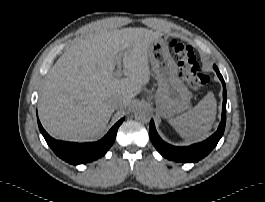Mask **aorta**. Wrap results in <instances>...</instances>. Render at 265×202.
Returning a JSON list of instances; mask_svg holds the SVG:
<instances>
[{"label":"aorta","mask_w":265,"mask_h":202,"mask_svg":"<svg viewBox=\"0 0 265 202\" xmlns=\"http://www.w3.org/2000/svg\"><path fill=\"white\" fill-rule=\"evenodd\" d=\"M134 116L136 120L143 123H147L151 119V113L145 105H139L134 112Z\"/></svg>","instance_id":"762f6f07"}]
</instances>
